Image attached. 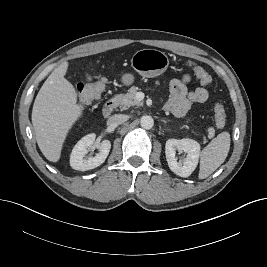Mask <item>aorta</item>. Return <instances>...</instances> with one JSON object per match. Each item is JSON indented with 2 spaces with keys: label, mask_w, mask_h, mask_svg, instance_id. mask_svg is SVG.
I'll return each instance as SVG.
<instances>
[{
  "label": "aorta",
  "mask_w": 267,
  "mask_h": 267,
  "mask_svg": "<svg viewBox=\"0 0 267 267\" xmlns=\"http://www.w3.org/2000/svg\"><path fill=\"white\" fill-rule=\"evenodd\" d=\"M140 125L143 129H151L154 125V120L151 116H143L140 120Z\"/></svg>",
  "instance_id": "aorta-1"
}]
</instances>
